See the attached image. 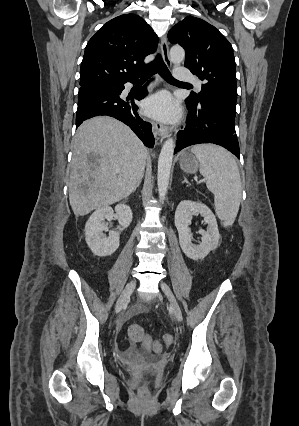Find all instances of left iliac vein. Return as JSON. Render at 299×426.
Masks as SVG:
<instances>
[{"mask_svg": "<svg viewBox=\"0 0 299 426\" xmlns=\"http://www.w3.org/2000/svg\"><path fill=\"white\" fill-rule=\"evenodd\" d=\"M160 287L162 289V291L164 292V294L167 296L169 302H170V306L171 309L173 311V314L175 316V318L181 322L183 320V315H182V311L180 309V306L171 290V288L165 283V282H161L160 283Z\"/></svg>", "mask_w": 299, "mask_h": 426, "instance_id": "4c4485c4", "label": "left iliac vein"}]
</instances>
